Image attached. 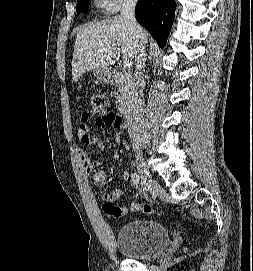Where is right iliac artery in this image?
<instances>
[{"instance_id": "obj_1", "label": "right iliac artery", "mask_w": 253, "mask_h": 271, "mask_svg": "<svg viewBox=\"0 0 253 271\" xmlns=\"http://www.w3.org/2000/svg\"><path fill=\"white\" fill-rule=\"evenodd\" d=\"M131 181L134 185L138 186L140 183V177L137 173H132L131 174Z\"/></svg>"}]
</instances>
